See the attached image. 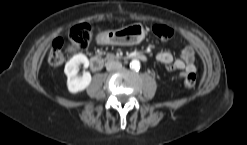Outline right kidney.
I'll return each instance as SVG.
<instances>
[{"label":"right kidney","instance_id":"right-kidney-1","mask_svg":"<svg viewBox=\"0 0 247 145\" xmlns=\"http://www.w3.org/2000/svg\"><path fill=\"white\" fill-rule=\"evenodd\" d=\"M80 64H83L85 68L89 66V60L84 54L74 55L65 65L64 72L67 76V87L70 93L81 92L91 83L92 77L89 72H84L82 77L77 75Z\"/></svg>","mask_w":247,"mask_h":145}]
</instances>
